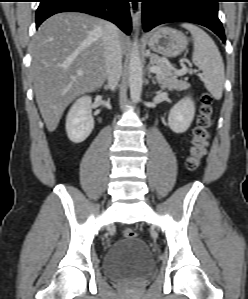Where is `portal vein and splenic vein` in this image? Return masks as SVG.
<instances>
[{"label": "portal vein and splenic vein", "instance_id": "obj_1", "mask_svg": "<svg viewBox=\"0 0 248 299\" xmlns=\"http://www.w3.org/2000/svg\"><path fill=\"white\" fill-rule=\"evenodd\" d=\"M151 72L153 73H161V69L159 67H156V66H152L150 68ZM189 72V69L186 67V66H183L182 69H180L179 71H176L174 74H173V77H176V76H182V75H185L186 73Z\"/></svg>", "mask_w": 248, "mask_h": 299}]
</instances>
